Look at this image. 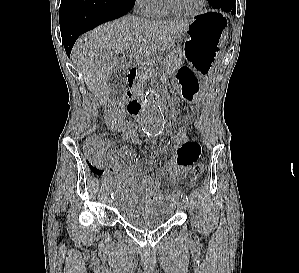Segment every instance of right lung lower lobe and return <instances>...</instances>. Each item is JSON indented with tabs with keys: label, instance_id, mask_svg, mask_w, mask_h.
I'll return each mask as SVG.
<instances>
[{
	"label": "right lung lower lobe",
	"instance_id": "obj_1",
	"mask_svg": "<svg viewBox=\"0 0 299 273\" xmlns=\"http://www.w3.org/2000/svg\"><path fill=\"white\" fill-rule=\"evenodd\" d=\"M134 4L135 0H61L60 30L68 57L81 34L125 15Z\"/></svg>",
	"mask_w": 299,
	"mask_h": 273
}]
</instances>
